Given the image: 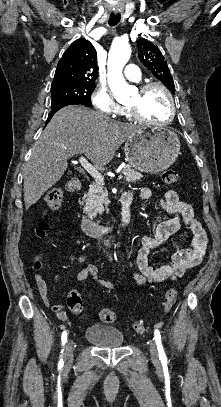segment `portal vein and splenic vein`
I'll use <instances>...</instances> for the list:
<instances>
[{"mask_svg": "<svg viewBox=\"0 0 221 407\" xmlns=\"http://www.w3.org/2000/svg\"><path fill=\"white\" fill-rule=\"evenodd\" d=\"M80 165L95 179L99 184H104V177L99 173V171L83 156L78 159ZM118 180L123 179V175H119Z\"/></svg>", "mask_w": 221, "mask_h": 407, "instance_id": "1", "label": "portal vein and splenic vein"}]
</instances>
